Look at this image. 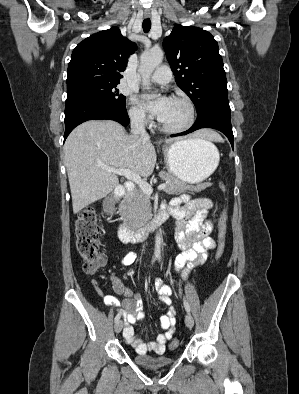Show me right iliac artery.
Listing matches in <instances>:
<instances>
[{"label":"right iliac artery","mask_w":299,"mask_h":394,"mask_svg":"<svg viewBox=\"0 0 299 394\" xmlns=\"http://www.w3.org/2000/svg\"><path fill=\"white\" fill-rule=\"evenodd\" d=\"M155 261V259H153L152 263ZM121 314L118 313L114 319L115 322H117L120 319Z\"/></svg>","instance_id":"right-iliac-artery-1"}]
</instances>
